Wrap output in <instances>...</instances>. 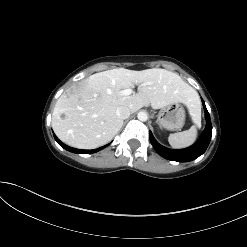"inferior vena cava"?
Returning <instances> with one entry per match:
<instances>
[{
  "label": "inferior vena cava",
  "mask_w": 247,
  "mask_h": 247,
  "mask_svg": "<svg viewBox=\"0 0 247 247\" xmlns=\"http://www.w3.org/2000/svg\"><path fill=\"white\" fill-rule=\"evenodd\" d=\"M131 114V111L128 107L126 106H120L117 108L116 110V115L120 118V119H127Z\"/></svg>",
  "instance_id": "1"
}]
</instances>
